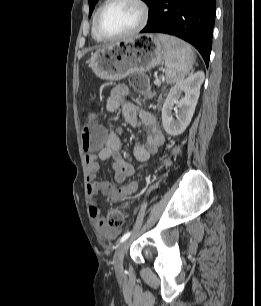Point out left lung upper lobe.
<instances>
[{"instance_id": "obj_1", "label": "left lung upper lobe", "mask_w": 261, "mask_h": 306, "mask_svg": "<svg viewBox=\"0 0 261 306\" xmlns=\"http://www.w3.org/2000/svg\"><path fill=\"white\" fill-rule=\"evenodd\" d=\"M98 0H88L89 3V17L92 14V11L95 7V4L97 3ZM145 3L149 4L151 0H143Z\"/></svg>"}]
</instances>
